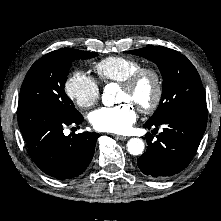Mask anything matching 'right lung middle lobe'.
I'll return each instance as SVG.
<instances>
[{
	"instance_id": "obj_1",
	"label": "right lung middle lobe",
	"mask_w": 221,
	"mask_h": 221,
	"mask_svg": "<svg viewBox=\"0 0 221 221\" xmlns=\"http://www.w3.org/2000/svg\"><path fill=\"white\" fill-rule=\"evenodd\" d=\"M96 53L63 48L44 55L29 69L21 86L18 110L40 106L54 110L67 117L80 113L64 91L71 62L88 59Z\"/></svg>"
}]
</instances>
